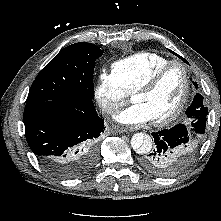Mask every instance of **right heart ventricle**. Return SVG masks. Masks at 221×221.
<instances>
[{
    "mask_svg": "<svg viewBox=\"0 0 221 221\" xmlns=\"http://www.w3.org/2000/svg\"><path fill=\"white\" fill-rule=\"evenodd\" d=\"M170 60L157 53L142 51L112 64V73L127 93H133L158 68Z\"/></svg>",
    "mask_w": 221,
    "mask_h": 221,
    "instance_id": "1",
    "label": "right heart ventricle"
}]
</instances>
